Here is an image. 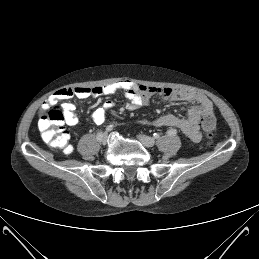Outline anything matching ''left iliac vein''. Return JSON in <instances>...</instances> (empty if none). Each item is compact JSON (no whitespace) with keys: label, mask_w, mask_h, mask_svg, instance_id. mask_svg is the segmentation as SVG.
<instances>
[{"label":"left iliac vein","mask_w":259,"mask_h":259,"mask_svg":"<svg viewBox=\"0 0 259 259\" xmlns=\"http://www.w3.org/2000/svg\"><path fill=\"white\" fill-rule=\"evenodd\" d=\"M141 143L146 147H153L155 145V140L152 137L146 135H139L138 136Z\"/></svg>","instance_id":"4c4485c4"}]
</instances>
